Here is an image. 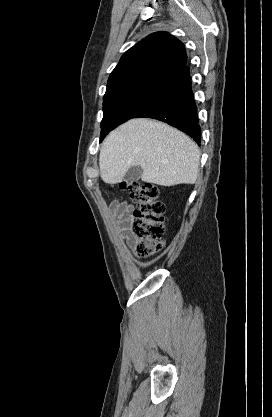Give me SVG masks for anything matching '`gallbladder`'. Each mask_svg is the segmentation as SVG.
Instances as JSON below:
<instances>
[{"label":"gallbladder","mask_w":272,"mask_h":417,"mask_svg":"<svg viewBox=\"0 0 272 417\" xmlns=\"http://www.w3.org/2000/svg\"><path fill=\"white\" fill-rule=\"evenodd\" d=\"M142 175V168L139 165L132 166L126 172L124 179L128 184H132L133 182L139 180Z\"/></svg>","instance_id":"gallbladder-1"}]
</instances>
